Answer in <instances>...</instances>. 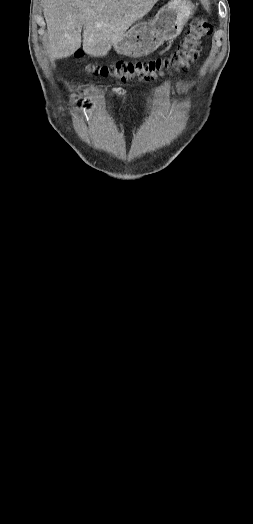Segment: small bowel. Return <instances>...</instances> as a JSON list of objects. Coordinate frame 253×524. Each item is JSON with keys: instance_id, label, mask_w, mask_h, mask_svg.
<instances>
[{"instance_id": "c3829d8e", "label": "small bowel", "mask_w": 253, "mask_h": 524, "mask_svg": "<svg viewBox=\"0 0 253 524\" xmlns=\"http://www.w3.org/2000/svg\"><path fill=\"white\" fill-rule=\"evenodd\" d=\"M114 92H115L117 95H124V94H125V91H124V89H122V88H115V89H114ZM99 114H101V112H99Z\"/></svg>"}]
</instances>
